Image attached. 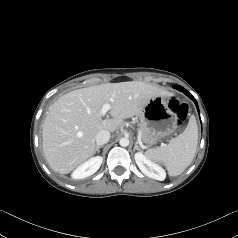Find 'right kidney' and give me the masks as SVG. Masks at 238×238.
<instances>
[{
	"mask_svg": "<svg viewBox=\"0 0 238 238\" xmlns=\"http://www.w3.org/2000/svg\"><path fill=\"white\" fill-rule=\"evenodd\" d=\"M103 158L101 156L92 157L85 163L78 166L72 173L73 179H84L94 174L101 166Z\"/></svg>",
	"mask_w": 238,
	"mask_h": 238,
	"instance_id": "ca27d5eb",
	"label": "right kidney"
}]
</instances>
